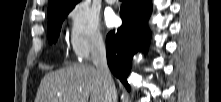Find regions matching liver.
Returning a JSON list of instances; mask_svg holds the SVG:
<instances>
[{
	"label": "liver",
	"instance_id": "1",
	"mask_svg": "<svg viewBox=\"0 0 221 102\" xmlns=\"http://www.w3.org/2000/svg\"><path fill=\"white\" fill-rule=\"evenodd\" d=\"M105 102L106 87L99 69L70 66L42 79L35 102Z\"/></svg>",
	"mask_w": 221,
	"mask_h": 102
}]
</instances>
